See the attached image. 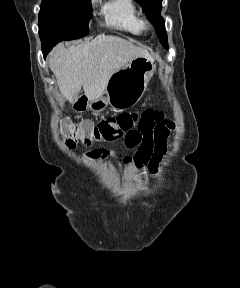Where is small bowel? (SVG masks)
Listing matches in <instances>:
<instances>
[{"instance_id":"c3829d8e","label":"small bowel","mask_w":240,"mask_h":288,"mask_svg":"<svg viewBox=\"0 0 240 288\" xmlns=\"http://www.w3.org/2000/svg\"><path fill=\"white\" fill-rule=\"evenodd\" d=\"M174 129V123L157 110H145L140 115L139 125L125 137L128 147H137L134 161L137 166L148 164L155 171L167 150V138ZM89 158L106 160L112 156L107 149H96L88 154ZM130 160L127 159L126 162Z\"/></svg>"}]
</instances>
